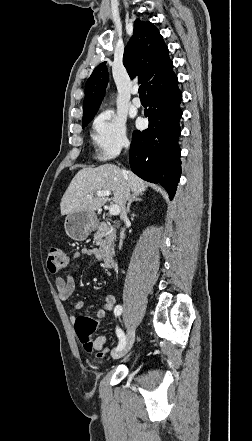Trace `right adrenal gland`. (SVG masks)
I'll return each instance as SVG.
<instances>
[{
    "mask_svg": "<svg viewBox=\"0 0 252 441\" xmlns=\"http://www.w3.org/2000/svg\"><path fill=\"white\" fill-rule=\"evenodd\" d=\"M134 201H142V199L139 197V195L132 194L129 197V201H128V205H127V209H126L127 213H130V207H131L132 202H134Z\"/></svg>",
    "mask_w": 252,
    "mask_h": 441,
    "instance_id": "obj_1",
    "label": "right adrenal gland"
}]
</instances>
